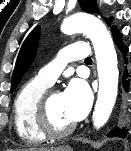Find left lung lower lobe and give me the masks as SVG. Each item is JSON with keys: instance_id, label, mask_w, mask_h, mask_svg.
Returning a JSON list of instances; mask_svg holds the SVG:
<instances>
[{"instance_id": "obj_1", "label": "left lung lower lobe", "mask_w": 131, "mask_h": 151, "mask_svg": "<svg viewBox=\"0 0 131 151\" xmlns=\"http://www.w3.org/2000/svg\"><path fill=\"white\" fill-rule=\"evenodd\" d=\"M113 39L115 44L117 45V47L119 48V50L121 51L122 55H123V59L125 64H128L127 61V53H128V47L122 42V34L117 33L115 35H113ZM127 68V66L125 67ZM131 78V72L128 73V70L126 69L124 71L123 74V87L124 90L127 92L129 89V85H130V79ZM129 133V128H128V124L126 123V121L124 120V118H122L118 125L116 127H114L108 134L107 137H121V138H125L127 137Z\"/></svg>"}]
</instances>
